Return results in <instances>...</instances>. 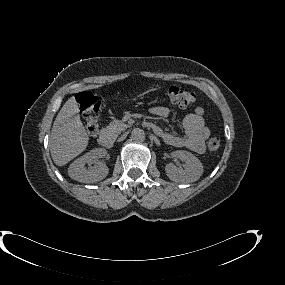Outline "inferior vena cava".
<instances>
[{
    "instance_id": "obj_1",
    "label": "inferior vena cava",
    "mask_w": 285,
    "mask_h": 285,
    "mask_svg": "<svg viewBox=\"0 0 285 285\" xmlns=\"http://www.w3.org/2000/svg\"><path fill=\"white\" fill-rule=\"evenodd\" d=\"M116 143L117 144H122L123 143V138L122 137H117L116 138Z\"/></svg>"
}]
</instances>
